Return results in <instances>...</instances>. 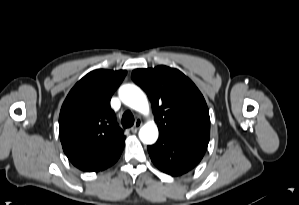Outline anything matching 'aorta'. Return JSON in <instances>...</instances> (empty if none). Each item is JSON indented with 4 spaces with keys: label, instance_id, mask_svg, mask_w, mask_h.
Returning <instances> with one entry per match:
<instances>
[{
    "label": "aorta",
    "instance_id": "aorta-1",
    "mask_svg": "<svg viewBox=\"0 0 299 205\" xmlns=\"http://www.w3.org/2000/svg\"><path fill=\"white\" fill-rule=\"evenodd\" d=\"M119 96L124 104L132 109L147 113L149 104L143 91L135 85L126 84L119 89ZM139 138L145 144H153L158 138V128L154 122L145 124L139 131Z\"/></svg>",
    "mask_w": 299,
    "mask_h": 205
}]
</instances>
